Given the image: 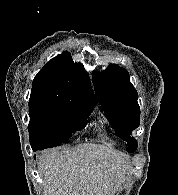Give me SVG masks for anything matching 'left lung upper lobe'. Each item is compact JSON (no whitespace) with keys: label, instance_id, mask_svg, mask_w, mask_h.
Here are the masks:
<instances>
[{"label":"left lung upper lobe","instance_id":"left-lung-upper-lobe-1","mask_svg":"<svg viewBox=\"0 0 178 195\" xmlns=\"http://www.w3.org/2000/svg\"><path fill=\"white\" fill-rule=\"evenodd\" d=\"M97 100L117 136L127 141L128 152L137 148V141L130 136L140 124L138 94L130 82L126 69L111 64L102 74L93 73Z\"/></svg>","mask_w":178,"mask_h":195}]
</instances>
